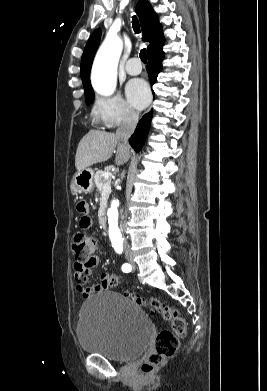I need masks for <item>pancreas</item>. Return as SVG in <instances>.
<instances>
[{
  "label": "pancreas",
  "mask_w": 267,
  "mask_h": 391,
  "mask_svg": "<svg viewBox=\"0 0 267 391\" xmlns=\"http://www.w3.org/2000/svg\"><path fill=\"white\" fill-rule=\"evenodd\" d=\"M105 171L98 170L94 174V183L97 186V188L101 191L104 185H107L109 188L111 187V179L110 178H104L103 174Z\"/></svg>",
  "instance_id": "cf45deb5"
}]
</instances>
